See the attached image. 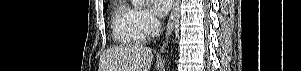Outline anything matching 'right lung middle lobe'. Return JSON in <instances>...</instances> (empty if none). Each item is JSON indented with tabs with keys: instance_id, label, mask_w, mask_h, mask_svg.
<instances>
[{
	"instance_id": "1",
	"label": "right lung middle lobe",
	"mask_w": 301,
	"mask_h": 71,
	"mask_svg": "<svg viewBox=\"0 0 301 71\" xmlns=\"http://www.w3.org/2000/svg\"><path fill=\"white\" fill-rule=\"evenodd\" d=\"M107 7H108V5L106 4V5H104V9L106 10L107 9Z\"/></svg>"
}]
</instances>
